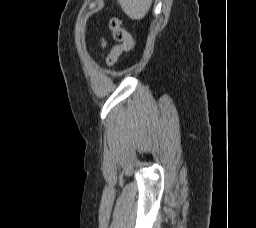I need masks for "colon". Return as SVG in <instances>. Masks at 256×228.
<instances>
[{"label": "colon", "instance_id": "1", "mask_svg": "<svg viewBox=\"0 0 256 228\" xmlns=\"http://www.w3.org/2000/svg\"><path fill=\"white\" fill-rule=\"evenodd\" d=\"M109 28L112 31L114 39L118 42L109 52L106 63L109 67L114 66L120 56L133 48V39L131 35L124 29L122 20L119 17H112L109 22ZM105 45L104 40H101V46Z\"/></svg>", "mask_w": 256, "mask_h": 228}]
</instances>
